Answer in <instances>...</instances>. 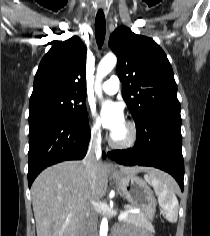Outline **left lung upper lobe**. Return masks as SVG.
<instances>
[{
  "label": "left lung upper lobe",
  "instance_id": "5c2ea615",
  "mask_svg": "<svg viewBox=\"0 0 210 236\" xmlns=\"http://www.w3.org/2000/svg\"><path fill=\"white\" fill-rule=\"evenodd\" d=\"M109 45L118 57L122 96L135 123L151 113H180L172 67L153 39L120 27L110 36Z\"/></svg>",
  "mask_w": 210,
  "mask_h": 236
}]
</instances>
